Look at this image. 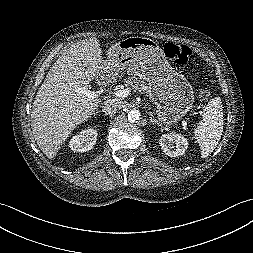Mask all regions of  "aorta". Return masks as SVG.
I'll use <instances>...</instances> for the list:
<instances>
[{
    "instance_id": "762f6f07",
    "label": "aorta",
    "mask_w": 253,
    "mask_h": 253,
    "mask_svg": "<svg viewBox=\"0 0 253 253\" xmlns=\"http://www.w3.org/2000/svg\"><path fill=\"white\" fill-rule=\"evenodd\" d=\"M140 112L139 110H136V109H132L128 112L127 114V117H128V120L131 121V122H136L140 119Z\"/></svg>"
}]
</instances>
